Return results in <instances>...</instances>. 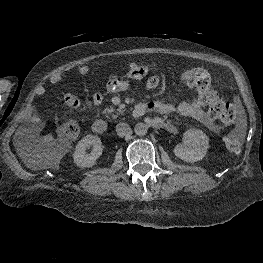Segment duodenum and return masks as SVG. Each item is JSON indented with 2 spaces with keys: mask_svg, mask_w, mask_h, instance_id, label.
Wrapping results in <instances>:
<instances>
[{
  "mask_svg": "<svg viewBox=\"0 0 263 263\" xmlns=\"http://www.w3.org/2000/svg\"><path fill=\"white\" fill-rule=\"evenodd\" d=\"M150 110L149 106L146 103H139L133 110L132 115L135 118H139L146 114ZM92 130L98 135L105 134L108 130L107 123L102 119H97L92 124Z\"/></svg>",
  "mask_w": 263,
  "mask_h": 263,
  "instance_id": "duodenum-1",
  "label": "duodenum"
}]
</instances>
